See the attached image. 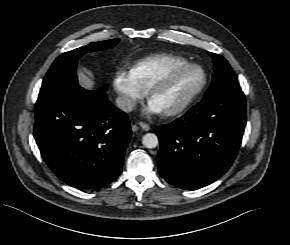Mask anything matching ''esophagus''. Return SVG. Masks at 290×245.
Wrapping results in <instances>:
<instances>
[{"label":"esophagus","instance_id":"obj_1","mask_svg":"<svg viewBox=\"0 0 290 245\" xmlns=\"http://www.w3.org/2000/svg\"><path fill=\"white\" fill-rule=\"evenodd\" d=\"M138 125L144 130V131H149L150 126L144 122H139Z\"/></svg>","mask_w":290,"mask_h":245}]
</instances>
